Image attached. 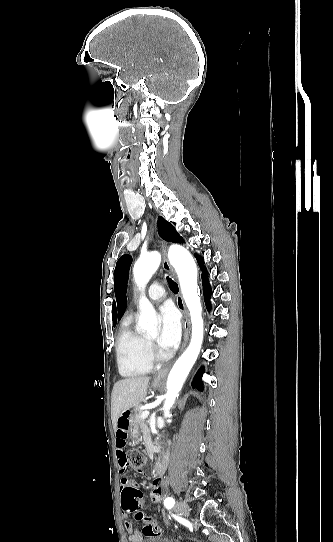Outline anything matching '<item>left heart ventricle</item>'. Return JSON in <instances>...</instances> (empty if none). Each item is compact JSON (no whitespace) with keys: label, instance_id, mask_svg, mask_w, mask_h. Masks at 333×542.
Listing matches in <instances>:
<instances>
[{"label":"left heart ventricle","instance_id":"left-heart-ventricle-1","mask_svg":"<svg viewBox=\"0 0 333 542\" xmlns=\"http://www.w3.org/2000/svg\"><path fill=\"white\" fill-rule=\"evenodd\" d=\"M148 338L154 342L159 353H161L162 355H167L166 351L158 343L159 334L150 335L148 336Z\"/></svg>","mask_w":333,"mask_h":542}]
</instances>
